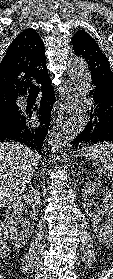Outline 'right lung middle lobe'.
Wrapping results in <instances>:
<instances>
[{
  "instance_id": "1",
  "label": "right lung middle lobe",
  "mask_w": 113,
  "mask_h": 279,
  "mask_svg": "<svg viewBox=\"0 0 113 279\" xmlns=\"http://www.w3.org/2000/svg\"><path fill=\"white\" fill-rule=\"evenodd\" d=\"M19 112L16 104L0 109V124L13 120Z\"/></svg>"
}]
</instances>
